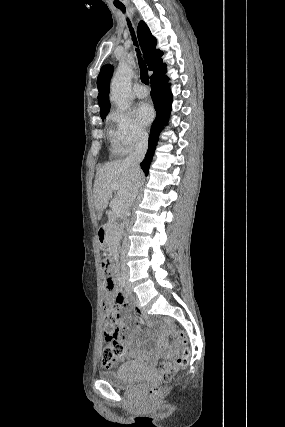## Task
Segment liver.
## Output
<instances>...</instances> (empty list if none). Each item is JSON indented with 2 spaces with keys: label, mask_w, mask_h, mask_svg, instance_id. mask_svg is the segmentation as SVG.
Returning a JSON list of instances; mask_svg holds the SVG:
<instances>
[{
  "label": "liver",
  "mask_w": 285,
  "mask_h": 427,
  "mask_svg": "<svg viewBox=\"0 0 285 427\" xmlns=\"http://www.w3.org/2000/svg\"><path fill=\"white\" fill-rule=\"evenodd\" d=\"M135 180L136 175L125 160L106 163L97 171L93 187V197L99 220L101 219L103 210L108 205L109 199L112 197L113 190H111V185H118L116 197L123 202V207L127 208L131 202Z\"/></svg>",
  "instance_id": "obj_1"
}]
</instances>
